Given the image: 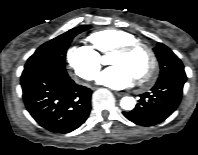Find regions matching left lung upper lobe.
<instances>
[{
	"label": "left lung upper lobe",
	"mask_w": 198,
	"mask_h": 155,
	"mask_svg": "<svg viewBox=\"0 0 198 155\" xmlns=\"http://www.w3.org/2000/svg\"><path fill=\"white\" fill-rule=\"evenodd\" d=\"M154 52L160 63V76L159 80L174 76V75H185L184 66L180 59L164 44L159 43L155 48ZM141 118L148 119V113H142Z\"/></svg>",
	"instance_id": "left-lung-upper-lobe-1"
}]
</instances>
